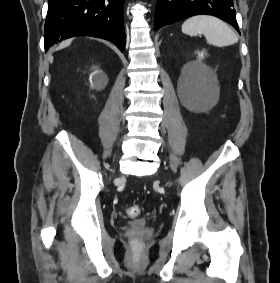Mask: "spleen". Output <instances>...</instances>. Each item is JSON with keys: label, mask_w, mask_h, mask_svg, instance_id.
<instances>
[{"label": "spleen", "mask_w": 280, "mask_h": 283, "mask_svg": "<svg viewBox=\"0 0 280 283\" xmlns=\"http://www.w3.org/2000/svg\"><path fill=\"white\" fill-rule=\"evenodd\" d=\"M182 32L190 36L203 34L209 44L217 47H226L238 42L237 35L226 23L208 15L190 17L183 23Z\"/></svg>", "instance_id": "spleen-1"}]
</instances>
